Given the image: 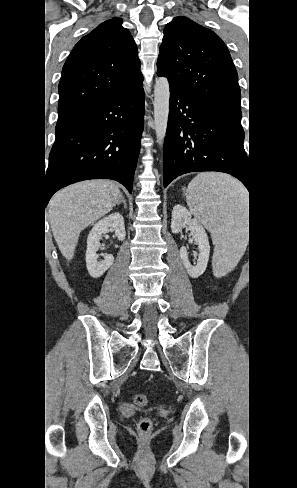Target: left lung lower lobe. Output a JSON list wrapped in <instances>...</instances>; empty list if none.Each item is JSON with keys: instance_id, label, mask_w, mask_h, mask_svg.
<instances>
[{"instance_id": "obj_1", "label": "left lung lower lobe", "mask_w": 297, "mask_h": 488, "mask_svg": "<svg viewBox=\"0 0 297 488\" xmlns=\"http://www.w3.org/2000/svg\"><path fill=\"white\" fill-rule=\"evenodd\" d=\"M244 136L240 123L170 88L164 141V187L185 173L219 171L239 179L250 195V167L243 147Z\"/></svg>"}]
</instances>
